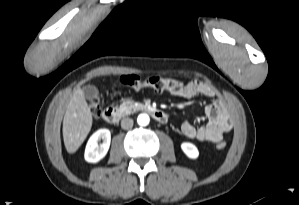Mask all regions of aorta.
<instances>
[{
	"label": "aorta",
	"instance_id": "aorta-1",
	"mask_svg": "<svg viewBox=\"0 0 299 205\" xmlns=\"http://www.w3.org/2000/svg\"><path fill=\"white\" fill-rule=\"evenodd\" d=\"M149 121H150V118L147 114L145 113H142V114H139L138 118H137V123L140 125V126H147L149 124Z\"/></svg>",
	"mask_w": 299,
	"mask_h": 205
}]
</instances>
